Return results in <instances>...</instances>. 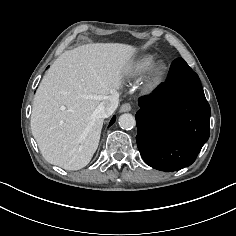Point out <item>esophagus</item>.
Instances as JSON below:
<instances>
[{"label": "esophagus", "instance_id": "34e87169", "mask_svg": "<svg viewBox=\"0 0 236 236\" xmlns=\"http://www.w3.org/2000/svg\"><path fill=\"white\" fill-rule=\"evenodd\" d=\"M131 110V105L129 103H125L120 107V112H129Z\"/></svg>", "mask_w": 236, "mask_h": 236}]
</instances>
